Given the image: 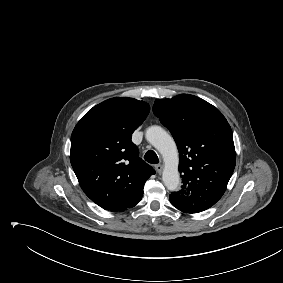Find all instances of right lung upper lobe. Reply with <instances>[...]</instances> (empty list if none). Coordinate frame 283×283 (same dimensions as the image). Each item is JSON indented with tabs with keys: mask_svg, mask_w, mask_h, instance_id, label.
Returning a JSON list of instances; mask_svg holds the SVG:
<instances>
[{
	"mask_svg": "<svg viewBox=\"0 0 283 283\" xmlns=\"http://www.w3.org/2000/svg\"><path fill=\"white\" fill-rule=\"evenodd\" d=\"M150 106L128 97L106 100L90 109L71 135L70 161L84 193L105 210L137 205L154 169L139 158L131 141Z\"/></svg>",
	"mask_w": 283,
	"mask_h": 283,
	"instance_id": "cb5924a9",
	"label": "right lung upper lobe"
}]
</instances>
